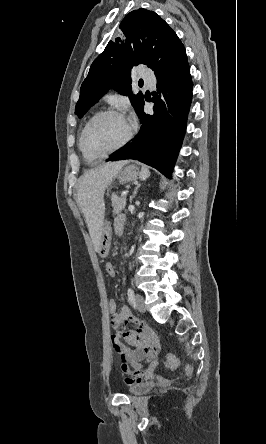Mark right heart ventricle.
Returning <instances> with one entry per match:
<instances>
[{
	"label": "right heart ventricle",
	"mask_w": 266,
	"mask_h": 444,
	"mask_svg": "<svg viewBox=\"0 0 266 444\" xmlns=\"http://www.w3.org/2000/svg\"><path fill=\"white\" fill-rule=\"evenodd\" d=\"M84 155V157L86 158V159H96L95 157H91V156H88V155H85V154H83Z\"/></svg>",
	"instance_id": "right-heart-ventricle-1"
}]
</instances>
